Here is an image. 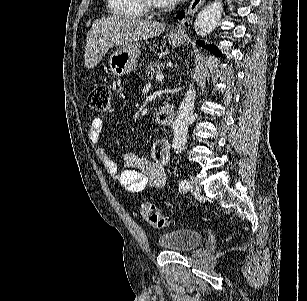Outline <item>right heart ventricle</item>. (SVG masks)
<instances>
[{
  "mask_svg": "<svg viewBox=\"0 0 307 301\" xmlns=\"http://www.w3.org/2000/svg\"><path fill=\"white\" fill-rule=\"evenodd\" d=\"M110 5H106V12L110 17H141L145 0H108Z\"/></svg>",
  "mask_w": 307,
  "mask_h": 301,
  "instance_id": "right-heart-ventricle-1",
  "label": "right heart ventricle"
}]
</instances>
